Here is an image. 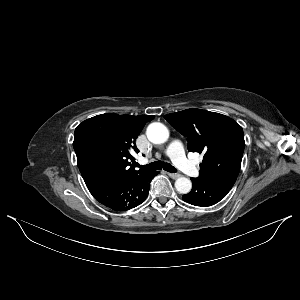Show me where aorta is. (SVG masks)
Instances as JSON below:
<instances>
[{
	"mask_svg": "<svg viewBox=\"0 0 300 300\" xmlns=\"http://www.w3.org/2000/svg\"><path fill=\"white\" fill-rule=\"evenodd\" d=\"M147 138L154 144H162L167 141L169 131L167 127L159 122L151 123L146 130ZM175 188L181 194H187L191 191L192 182L186 177H179L175 181Z\"/></svg>",
	"mask_w": 300,
	"mask_h": 300,
	"instance_id": "aorta-1",
	"label": "aorta"
}]
</instances>
